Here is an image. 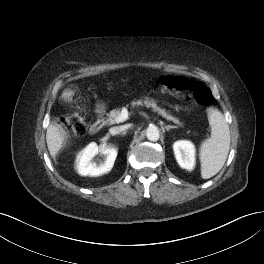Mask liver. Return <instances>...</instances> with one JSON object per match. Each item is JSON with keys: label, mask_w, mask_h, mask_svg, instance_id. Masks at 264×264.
Wrapping results in <instances>:
<instances>
[{"label": "liver", "mask_w": 264, "mask_h": 264, "mask_svg": "<svg viewBox=\"0 0 264 264\" xmlns=\"http://www.w3.org/2000/svg\"><path fill=\"white\" fill-rule=\"evenodd\" d=\"M67 133L58 124L51 123L47 128L46 142L50 155L53 159L56 158L58 152L66 145Z\"/></svg>", "instance_id": "1"}]
</instances>
